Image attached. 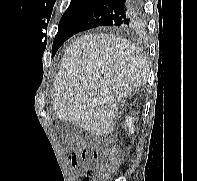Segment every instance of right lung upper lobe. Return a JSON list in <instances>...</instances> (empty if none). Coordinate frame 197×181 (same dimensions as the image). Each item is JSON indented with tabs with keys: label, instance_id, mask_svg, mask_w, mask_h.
I'll list each match as a JSON object with an SVG mask.
<instances>
[{
	"label": "right lung upper lobe",
	"instance_id": "obj_1",
	"mask_svg": "<svg viewBox=\"0 0 197 181\" xmlns=\"http://www.w3.org/2000/svg\"><path fill=\"white\" fill-rule=\"evenodd\" d=\"M99 0H71V3L68 7L67 10H73V9H77V8H82V7H86L89 8L91 5H93L94 3H96ZM134 27H120L118 28V30L120 31H128L130 29H133Z\"/></svg>",
	"mask_w": 197,
	"mask_h": 181
}]
</instances>
